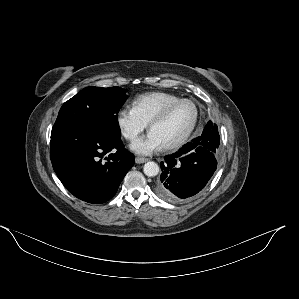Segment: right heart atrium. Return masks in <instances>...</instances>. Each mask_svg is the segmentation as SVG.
<instances>
[{
    "mask_svg": "<svg viewBox=\"0 0 299 299\" xmlns=\"http://www.w3.org/2000/svg\"><path fill=\"white\" fill-rule=\"evenodd\" d=\"M116 125L120 134L128 141L137 139L147 127V124L130 107H123L117 112Z\"/></svg>",
    "mask_w": 299,
    "mask_h": 299,
    "instance_id": "1",
    "label": "right heart atrium"
}]
</instances>
